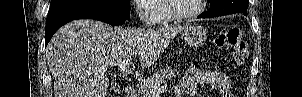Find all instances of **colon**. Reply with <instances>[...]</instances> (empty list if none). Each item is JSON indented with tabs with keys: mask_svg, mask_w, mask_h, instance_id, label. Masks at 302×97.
<instances>
[{
	"mask_svg": "<svg viewBox=\"0 0 302 97\" xmlns=\"http://www.w3.org/2000/svg\"><path fill=\"white\" fill-rule=\"evenodd\" d=\"M214 43L218 47L233 49L232 59L236 64H244L248 58V46L237 27L224 28L216 36Z\"/></svg>",
	"mask_w": 302,
	"mask_h": 97,
	"instance_id": "colon-1",
	"label": "colon"
}]
</instances>
